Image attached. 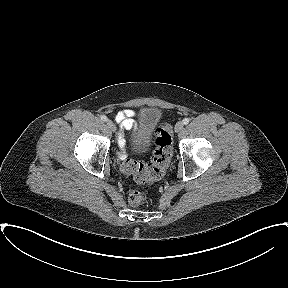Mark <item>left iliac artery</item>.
Returning a JSON list of instances; mask_svg holds the SVG:
<instances>
[{
    "instance_id": "left-iliac-artery-1",
    "label": "left iliac artery",
    "mask_w": 288,
    "mask_h": 288,
    "mask_svg": "<svg viewBox=\"0 0 288 288\" xmlns=\"http://www.w3.org/2000/svg\"><path fill=\"white\" fill-rule=\"evenodd\" d=\"M190 119L189 118H184L183 119V124L187 125L189 123Z\"/></svg>"
}]
</instances>
